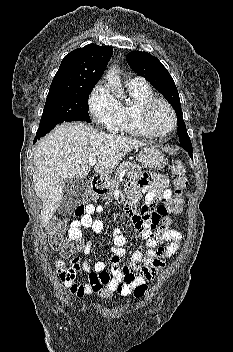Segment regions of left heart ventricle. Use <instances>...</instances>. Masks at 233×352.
<instances>
[{"instance_id":"1","label":"left heart ventricle","mask_w":233,"mask_h":352,"mask_svg":"<svg viewBox=\"0 0 233 352\" xmlns=\"http://www.w3.org/2000/svg\"><path fill=\"white\" fill-rule=\"evenodd\" d=\"M150 124L154 131L162 132L172 125L171 115L162 105H156L150 115Z\"/></svg>"}]
</instances>
